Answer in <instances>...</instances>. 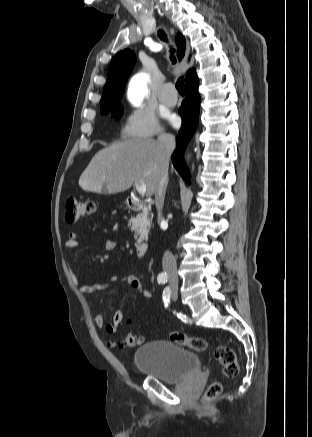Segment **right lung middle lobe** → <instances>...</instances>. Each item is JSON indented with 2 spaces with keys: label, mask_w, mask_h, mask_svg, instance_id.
<instances>
[{
  "label": "right lung middle lobe",
  "mask_w": 312,
  "mask_h": 437,
  "mask_svg": "<svg viewBox=\"0 0 312 437\" xmlns=\"http://www.w3.org/2000/svg\"><path fill=\"white\" fill-rule=\"evenodd\" d=\"M106 113H108V112H105V113H102V114H106ZM111 114H112V116H115L116 118H119L121 116V114H122V105L112 109L111 110Z\"/></svg>",
  "instance_id": "obj_1"
}]
</instances>
